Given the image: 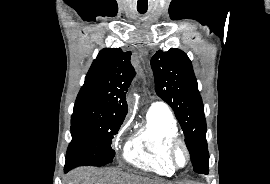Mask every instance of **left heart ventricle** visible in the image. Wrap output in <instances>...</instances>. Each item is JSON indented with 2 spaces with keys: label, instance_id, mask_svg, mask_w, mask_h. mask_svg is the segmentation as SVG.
<instances>
[{
  "label": "left heart ventricle",
  "instance_id": "obj_1",
  "mask_svg": "<svg viewBox=\"0 0 270 184\" xmlns=\"http://www.w3.org/2000/svg\"><path fill=\"white\" fill-rule=\"evenodd\" d=\"M176 161L179 165H184L186 162V155L182 149H178L176 153Z\"/></svg>",
  "mask_w": 270,
  "mask_h": 184
}]
</instances>
